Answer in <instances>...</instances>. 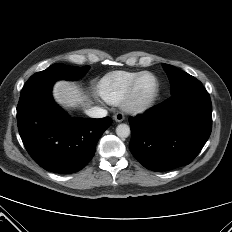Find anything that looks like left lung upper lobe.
<instances>
[{"label":"left lung upper lobe","mask_w":232,"mask_h":232,"mask_svg":"<svg viewBox=\"0 0 232 232\" xmlns=\"http://www.w3.org/2000/svg\"><path fill=\"white\" fill-rule=\"evenodd\" d=\"M171 82V94L174 95L186 88L202 85V83L190 74L179 70L178 68L163 64Z\"/></svg>","instance_id":"obj_1"}]
</instances>
